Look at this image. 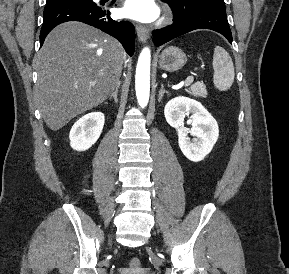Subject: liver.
<instances>
[{"instance_id":"liver-1","label":"liver","mask_w":289,"mask_h":274,"mask_svg":"<svg viewBox=\"0 0 289 274\" xmlns=\"http://www.w3.org/2000/svg\"><path fill=\"white\" fill-rule=\"evenodd\" d=\"M121 45L101 31L79 22L53 29L38 53L34 97L53 131L104 102L122 71Z\"/></svg>"}]
</instances>
